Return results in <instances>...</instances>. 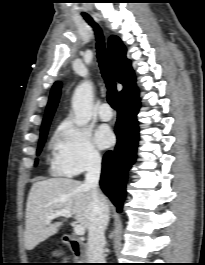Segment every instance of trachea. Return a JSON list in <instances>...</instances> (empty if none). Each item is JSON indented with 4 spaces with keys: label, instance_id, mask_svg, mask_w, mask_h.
Returning <instances> with one entry per match:
<instances>
[{
    "label": "trachea",
    "instance_id": "trachea-1",
    "mask_svg": "<svg viewBox=\"0 0 205 265\" xmlns=\"http://www.w3.org/2000/svg\"><path fill=\"white\" fill-rule=\"evenodd\" d=\"M85 20L91 25L95 31L96 40H97V57L99 66L101 69L102 77L105 80L108 95L107 99L109 104L113 109L117 107V89L114 74L106 53L105 45H104V38L100 27L93 21V19L87 15L83 14Z\"/></svg>",
    "mask_w": 205,
    "mask_h": 265
}]
</instances>
